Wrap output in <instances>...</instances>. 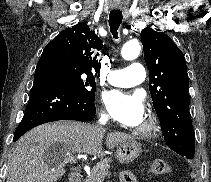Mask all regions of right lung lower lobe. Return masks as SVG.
I'll use <instances>...</instances> for the list:
<instances>
[{
	"label": "right lung lower lobe",
	"mask_w": 211,
	"mask_h": 182,
	"mask_svg": "<svg viewBox=\"0 0 211 182\" xmlns=\"http://www.w3.org/2000/svg\"><path fill=\"white\" fill-rule=\"evenodd\" d=\"M95 113L94 100L81 95L62 68L42 54L24 117L13 140L17 141L28 130L43 123L56 120L91 121Z\"/></svg>",
	"instance_id": "1"
}]
</instances>
